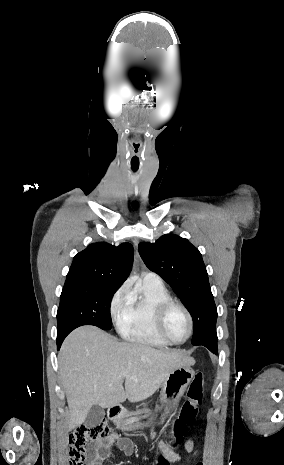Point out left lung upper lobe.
<instances>
[{"label":"left lung upper lobe","instance_id":"5c2ea615","mask_svg":"<svg viewBox=\"0 0 284 465\" xmlns=\"http://www.w3.org/2000/svg\"><path fill=\"white\" fill-rule=\"evenodd\" d=\"M139 253L146 266L160 275L190 312L193 345L217 341V309L201 253L187 239L163 235L155 243L141 242Z\"/></svg>","mask_w":284,"mask_h":465}]
</instances>
